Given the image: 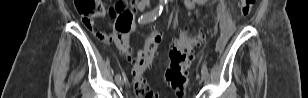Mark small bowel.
<instances>
[{"mask_svg":"<svg viewBox=\"0 0 308 98\" xmlns=\"http://www.w3.org/2000/svg\"><path fill=\"white\" fill-rule=\"evenodd\" d=\"M204 0H184V4L188 9H194L196 7L197 4H202L204 3ZM149 5V1L148 0H141V1H137L134 4V8L136 10L142 11L144 10V8L146 6ZM116 24V23H115ZM132 24V23H131ZM92 30V29H89ZM228 37H229V29L226 27H222L221 29V35L217 41V50L218 51H223L225 48V45L228 41Z\"/></svg>","mask_w":308,"mask_h":98,"instance_id":"1","label":"small bowel"}]
</instances>
